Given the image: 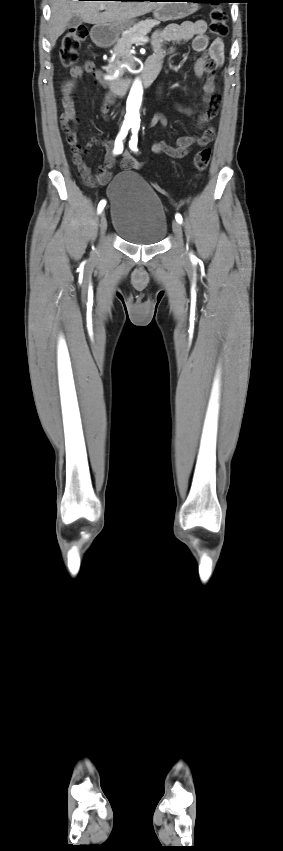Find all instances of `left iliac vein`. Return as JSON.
I'll return each instance as SVG.
<instances>
[{"mask_svg":"<svg viewBox=\"0 0 283 851\" xmlns=\"http://www.w3.org/2000/svg\"><path fill=\"white\" fill-rule=\"evenodd\" d=\"M172 230H173V232H174V234H175V236H176L177 240H178L180 243H182V228H181L180 223H179V222H177V221H173V222H172Z\"/></svg>","mask_w":283,"mask_h":851,"instance_id":"obj_1","label":"left iliac vein"}]
</instances>
